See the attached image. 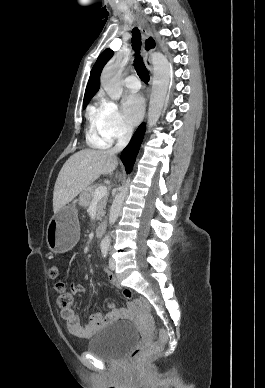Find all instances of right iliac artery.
I'll return each instance as SVG.
<instances>
[{
    "label": "right iliac artery",
    "mask_w": 265,
    "mask_h": 388,
    "mask_svg": "<svg viewBox=\"0 0 265 388\" xmlns=\"http://www.w3.org/2000/svg\"><path fill=\"white\" fill-rule=\"evenodd\" d=\"M108 249H109V245L108 244H102L101 245V251H102L103 257L107 256Z\"/></svg>",
    "instance_id": "right-iliac-artery-1"
}]
</instances>
